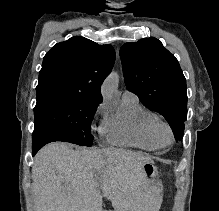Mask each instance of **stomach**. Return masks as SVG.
I'll return each instance as SVG.
<instances>
[{
  "label": "stomach",
  "instance_id": "0dacf381",
  "mask_svg": "<svg viewBox=\"0 0 219 211\" xmlns=\"http://www.w3.org/2000/svg\"><path fill=\"white\" fill-rule=\"evenodd\" d=\"M142 168H143V173H144L145 178L157 177L158 170H157V167L154 165V163H151V162L145 163Z\"/></svg>",
  "mask_w": 219,
  "mask_h": 211
}]
</instances>
